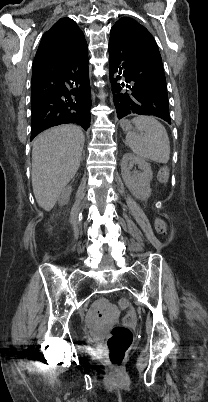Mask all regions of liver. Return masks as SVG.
<instances>
[{
	"mask_svg": "<svg viewBox=\"0 0 208 402\" xmlns=\"http://www.w3.org/2000/svg\"><path fill=\"white\" fill-rule=\"evenodd\" d=\"M84 134L78 126L63 124L33 140L32 186L40 208L50 212L62 190L74 178L81 162Z\"/></svg>",
	"mask_w": 208,
	"mask_h": 402,
	"instance_id": "obj_1",
	"label": "liver"
}]
</instances>
